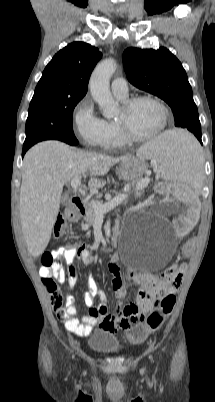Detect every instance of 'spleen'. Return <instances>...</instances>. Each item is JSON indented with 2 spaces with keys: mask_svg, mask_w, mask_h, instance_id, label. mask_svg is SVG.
I'll use <instances>...</instances> for the list:
<instances>
[{
  "mask_svg": "<svg viewBox=\"0 0 215 402\" xmlns=\"http://www.w3.org/2000/svg\"><path fill=\"white\" fill-rule=\"evenodd\" d=\"M142 159L151 158L156 172L175 184L182 183L188 193L199 188L204 174L197 133L187 128H168L167 132L143 145L137 152Z\"/></svg>",
  "mask_w": 215,
  "mask_h": 402,
  "instance_id": "1",
  "label": "spleen"
}]
</instances>
